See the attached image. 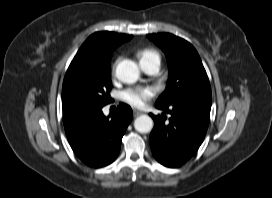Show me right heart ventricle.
<instances>
[{
	"label": "right heart ventricle",
	"instance_id": "obj_1",
	"mask_svg": "<svg viewBox=\"0 0 272 198\" xmlns=\"http://www.w3.org/2000/svg\"><path fill=\"white\" fill-rule=\"evenodd\" d=\"M140 64L150 61H158L160 63L159 53L152 48L140 49L136 53Z\"/></svg>",
	"mask_w": 272,
	"mask_h": 198
}]
</instances>
